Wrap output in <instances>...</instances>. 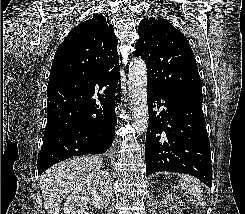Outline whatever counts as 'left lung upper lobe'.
<instances>
[{"mask_svg": "<svg viewBox=\"0 0 245 214\" xmlns=\"http://www.w3.org/2000/svg\"><path fill=\"white\" fill-rule=\"evenodd\" d=\"M133 55L147 66V85L173 95L203 97L194 53L186 37L168 21L145 18Z\"/></svg>", "mask_w": 245, "mask_h": 214, "instance_id": "left-lung-upper-lobe-1", "label": "left lung upper lobe"}]
</instances>
